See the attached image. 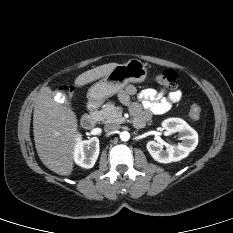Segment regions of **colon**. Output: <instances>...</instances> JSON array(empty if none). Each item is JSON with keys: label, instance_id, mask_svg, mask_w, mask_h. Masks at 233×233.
Wrapping results in <instances>:
<instances>
[{"label": "colon", "instance_id": "obj_1", "mask_svg": "<svg viewBox=\"0 0 233 233\" xmlns=\"http://www.w3.org/2000/svg\"><path fill=\"white\" fill-rule=\"evenodd\" d=\"M155 81L165 88L173 90L177 87V74L173 70H165L155 77ZM189 116L193 121H197L200 118L201 106L198 103L191 105Z\"/></svg>", "mask_w": 233, "mask_h": 233}]
</instances>
